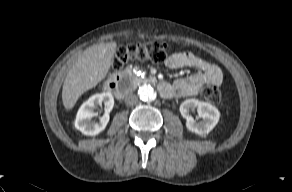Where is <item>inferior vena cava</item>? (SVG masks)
<instances>
[{"instance_id": "602c4592", "label": "inferior vena cava", "mask_w": 292, "mask_h": 192, "mask_svg": "<svg viewBox=\"0 0 292 192\" xmlns=\"http://www.w3.org/2000/svg\"><path fill=\"white\" fill-rule=\"evenodd\" d=\"M138 102V97L133 94V93H130L128 94L126 97H125V103L126 105L128 106H133L135 105L136 103Z\"/></svg>"}]
</instances>
